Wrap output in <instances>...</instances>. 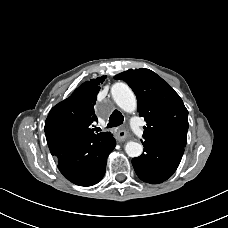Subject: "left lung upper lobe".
Segmentation results:
<instances>
[{
    "instance_id": "obj_1",
    "label": "left lung upper lobe",
    "mask_w": 228,
    "mask_h": 228,
    "mask_svg": "<svg viewBox=\"0 0 228 228\" xmlns=\"http://www.w3.org/2000/svg\"><path fill=\"white\" fill-rule=\"evenodd\" d=\"M125 81L137 97L139 115L144 117L145 140H165L185 147L188 111L172 87L149 69L127 70L114 77Z\"/></svg>"
}]
</instances>
